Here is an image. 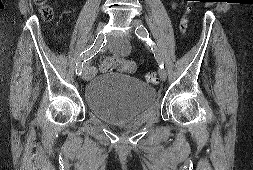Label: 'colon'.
I'll list each match as a JSON object with an SVG mask.
<instances>
[{
    "label": "colon",
    "mask_w": 253,
    "mask_h": 170,
    "mask_svg": "<svg viewBox=\"0 0 253 170\" xmlns=\"http://www.w3.org/2000/svg\"><path fill=\"white\" fill-rule=\"evenodd\" d=\"M190 1L194 0H187V4L184 8L183 15L179 22V30L182 34H185L188 30L189 25V14L192 11V5L190 4ZM34 3L39 6L41 15L49 20L53 16V8L48 3L47 0H34ZM115 59V58H114ZM109 65H106L104 68L106 69ZM129 71H134L135 66H129ZM147 82L149 83H157L158 82V74L155 71H149L145 75Z\"/></svg>",
    "instance_id": "colon-1"
}]
</instances>
